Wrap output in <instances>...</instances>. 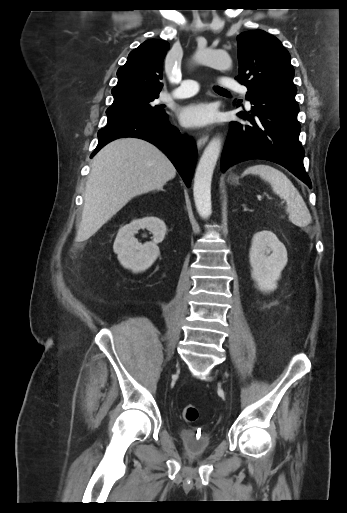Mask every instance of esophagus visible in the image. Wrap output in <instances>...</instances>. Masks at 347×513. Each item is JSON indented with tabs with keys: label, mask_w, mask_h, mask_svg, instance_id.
Listing matches in <instances>:
<instances>
[{
	"label": "esophagus",
	"mask_w": 347,
	"mask_h": 513,
	"mask_svg": "<svg viewBox=\"0 0 347 513\" xmlns=\"http://www.w3.org/2000/svg\"><path fill=\"white\" fill-rule=\"evenodd\" d=\"M209 139V135L203 134L198 140H197V148L200 150L204 147V145L207 143Z\"/></svg>",
	"instance_id": "1"
}]
</instances>
